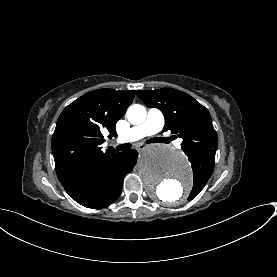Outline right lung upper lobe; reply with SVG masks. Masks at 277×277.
<instances>
[{"mask_svg":"<svg viewBox=\"0 0 277 277\" xmlns=\"http://www.w3.org/2000/svg\"><path fill=\"white\" fill-rule=\"evenodd\" d=\"M135 91L98 89L69 104L58 118L52 137L56 173L62 185L117 152H103V134L117 136L116 122L132 103Z\"/></svg>","mask_w":277,"mask_h":277,"instance_id":"obj_1","label":"right lung upper lobe"}]
</instances>
